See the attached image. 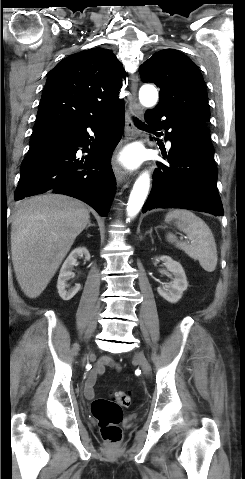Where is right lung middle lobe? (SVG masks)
Listing matches in <instances>:
<instances>
[{
	"label": "right lung middle lobe",
	"mask_w": 245,
	"mask_h": 479,
	"mask_svg": "<svg viewBox=\"0 0 245 479\" xmlns=\"http://www.w3.org/2000/svg\"><path fill=\"white\" fill-rule=\"evenodd\" d=\"M38 134H40V133H33V134L31 135V138L37 136Z\"/></svg>",
	"instance_id": "right-lung-middle-lobe-1"
}]
</instances>
